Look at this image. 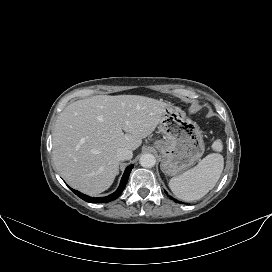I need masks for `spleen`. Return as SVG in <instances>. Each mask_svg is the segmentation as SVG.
<instances>
[{
    "instance_id": "spleen-1",
    "label": "spleen",
    "mask_w": 272,
    "mask_h": 272,
    "mask_svg": "<svg viewBox=\"0 0 272 272\" xmlns=\"http://www.w3.org/2000/svg\"><path fill=\"white\" fill-rule=\"evenodd\" d=\"M215 151H222L221 140L212 144ZM224 168V158L219 153H212L202 159L197 166L172 178L169 187L174 195L183 201H194L205 196L211 190Z\"/></svg>"
}]
</instances>
